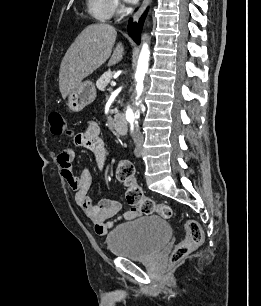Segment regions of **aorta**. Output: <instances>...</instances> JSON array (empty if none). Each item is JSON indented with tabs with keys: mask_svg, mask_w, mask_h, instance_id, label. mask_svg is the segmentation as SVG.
Listing matches in <instances>:
<instances>
[{
	"mask_svg": "<svg viewBox=\"0 0 261 306\" xmlns=\"http://www.w3.org/2000/svg\"><path fill=\"white\" fill-rule=\"evenodd\" d=\"M149 57H150V51L148 44L144 43L141 49V53L138 59V64H137V69L135 73V79L137 81L136 84V97L132 99L131 103L127 106L126 109V120L130 123H135L136 118H137V113L134 109V104L135 102L138 101L140 95L142 94L143 91V81L145 74L148 71V66H149Z\"/></svg>",
	"mask_w": 261,
	"mask_h": 306,
	"instance_id": "762f6f07",
	"label": "aorta"
}]
</instances>
